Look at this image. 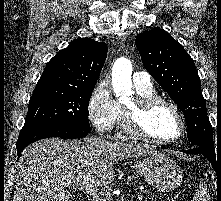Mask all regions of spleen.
I'll return each mask as SVG.
<instances>
[{"instance_id":"obj_1","label":"spleen","mask_w":221,"mask_h":201,"mask_svg":"<svg viewBox=\"0 0 221 201\" xmlns=\"http://www.w3.org/2000/svg\"><path fill=\"white\" fill-rule=\"evenodd\" d=\"M210 195L207 190L206 184L200 180L199 189L195 192L192 201H209Z\"/></svg>"}]
</instances>
